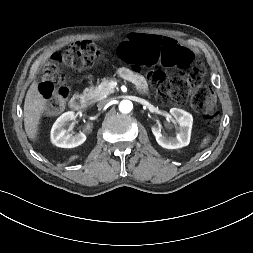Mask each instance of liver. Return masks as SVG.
I'll list each match as a JSON object with an SVG mask.
<instances>
[{"instance_id": "6515ba94", "label": "liver", "mask_w": 253, "mask_h": 253, "mask_svg": "<svg viewBox=\"0 0 253 253\" xmlns=\"http://www.w3.org/2000/svg\"><path fill=\"white\" fill-rule=\"evenodd\" d=\"M44 108L45 99L38 90V84L34 81L26 93L24 102V126L31 140L37 137L38 125Z\"/></svg>"}]
</instances>
